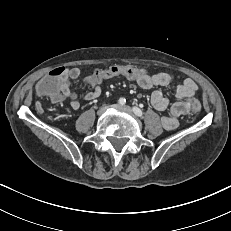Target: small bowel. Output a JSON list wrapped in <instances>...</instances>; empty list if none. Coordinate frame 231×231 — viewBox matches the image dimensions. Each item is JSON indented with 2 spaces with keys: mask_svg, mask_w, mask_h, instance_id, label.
Returning <instances> with one entry per match:
<instances>
[{
  "mask_svg": "<svg viewBox=\"0 0 231 231\" xmlns=\"http://www.w3.org/2000/svg\"><path fill=\"white\" fill-rule=\"evenodd\" d=\"M144 70V69H143ZM142 70V71H143ZM81 75V70L78 67L64 68L63 72L57 77V84L61 91V97L58 101L68 100L70 106L77 110L80 108V102L77 94L71 88V82ZM174 81V76L170 73L160 72L153 76L145 75L137 77L134 80V85L140 91H149L154 88L166 87ZM197 84L190 78L183 80L174 90V101L171 102L165 93L161 90H156L151 94L150 103L158 111H168V114L161 118L162 126L166 130H173L178 126V117L188 114L187 103L195 97ZM101 87L98 84L92 86V89L87 92L83 99L92 101L101 95Z\"/></svg>",
  "mask_w": 231,
  "mask_h": 231,
  "instance_id": "c3829d8e",
  "label": "small bowel"
}]
</instances>
